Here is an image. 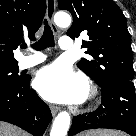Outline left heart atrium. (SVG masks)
I'll return each mask as SVG.
<instances>
[{"label":"left heart atrium","mask_w":136,"mask_h":136,"mask_svg":"<svg viewBox=\"0 0 136 136\" xmlns=\"http://www.w3.org/2000/svg\"><path fill=\"white\" fill-rule=\"evenodd\" d=\"M35 88L43 98L57 103L81 102L88 92L84 77L63 63L41 69L35 79Z\"/></svg>","instance_id":"1"}]
</instances>
